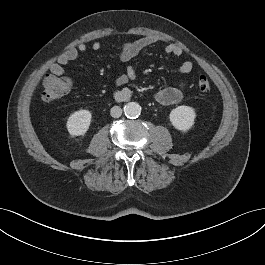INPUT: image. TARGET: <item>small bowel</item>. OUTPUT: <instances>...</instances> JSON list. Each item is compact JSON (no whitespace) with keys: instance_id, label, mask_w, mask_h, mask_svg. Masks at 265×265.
Listing matches in <instances>:
<instances>
[{"instance_id":"obj_1","label":"small bowel","mask_w":265,"mask_h":265,"mask_svg":"<svg viewBox=\"0 0 265 265\" xmlns=\"http://www.w3.org/2000/svg\"><path fill=\"white\" fill-rule=\"evenodd\" d=\"M158 42V39L154 36H145L135 41L125 42L120 49V59L123 62H128L136 57L140 52H142L147 47ZM92 49L94 51H99L102 48V43L96 40L92 43ZM88 47L85 43H79L75 47L67 49L55 62L50 71L54 75L63 76L65 74V67L73 60H75L80 53H85ZM165 53L168 55L182 56L185 54L184 49L175 44L170 43L165 47ZM193 69V63L191 61H184L178 68L179 73L188 74ZM136 77V72L133 66L129 65L125 72L118 76L116 79V84L122 86L127 84L129 81L134 80ZM185 82H180L174 86H168L160 89L155 94V100L162 105H174L181 102L184 95ZM130 95L129 89H122L118 96L121 99L127 98Z\"/></svg>"}]
</instances>
